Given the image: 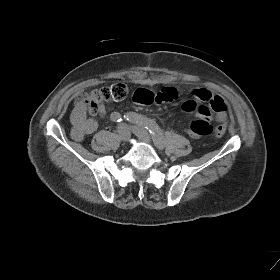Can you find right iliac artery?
<instances>
[{
  "label": "right iliac artery",
  "instance_id": "1",
  "mask_svg": "<svg viewBox=\"0 0 280 280\" xmlns=\"http://www.w3.org/2000/svg\"><path fill=\"white\" fill-rule=\"evenodd\" d=\"M110 118H111L112 121H115V122L122 121V117H121V115L118 112L112 113Z\"/></svg>",
  "mask_w": 280,
  "mask_h": 280
}]
</instances>
